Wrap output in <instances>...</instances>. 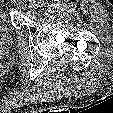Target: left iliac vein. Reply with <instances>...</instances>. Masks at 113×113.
Instances as JSON below:
<instances>
[{"mask_svg":"<svg viewBox=\"0 0 113 113\" xmlns=\"http://www.w3.org/2000/svg\"><path fill=\"white\" fill-rule=\"evenodd\" d=\"M36 7H37L36 2L33 1V0H30V3H29V8H30V10L33 11V10L36 9Z\"/></svg>","mask_w":113,"mask_h":113,"instance_id":"obj_1","label":"left iliac vein"}]
</instances>
